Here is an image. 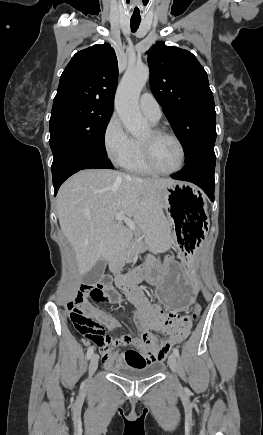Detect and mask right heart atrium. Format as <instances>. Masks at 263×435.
Masks as SVG:
<instances>
[{"instance_id": "right-heart-atrium-1", "label": "right heart atrium", "mask_w": 263, "mask_h": 435, "mask_svg": "<svg viewBox=\"0 0 263 435\" xmlns=\"http://www.w3.org/2000/svg\"><path fill=\"white\" fill-rule=\"evenodd\" d=\"M103 146L107 156L118 166H124L132 156L134 139L116 114L110 117L104 128Z\"/></svg>"}]
</instances>
